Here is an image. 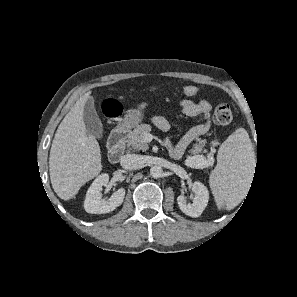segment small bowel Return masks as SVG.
Returning <instances> with one entry per match:
<instances>
[{"instance_id":"obj_1","label":"small bowel","mask_w":297,"mask_h":297,"mask_svg":"<svg viewBox=\"0 0 297 297\" xmlns=\"http://www.w3.org/2000/svg\"><path fill=\"white\" fill-rule=\"evenodd\" d=\"M179 107L186 116L199 118L200 123L193 125L176 143L170 138H166L164 145L169 155L174 159L181 158L188 146L211 128L212 105L207 100L184 99L179 102ZM152 120L159 129L163 131L170 129V123L165 117L156 115Z\"/></svg>"}]
</instances>
